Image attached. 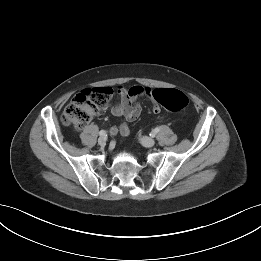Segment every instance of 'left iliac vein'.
Segmentation results:
<instances>
[{
  "label": "left iliac vein",
  "mask_w": 261,
  "mask_h": 261,
  "mask_svg": "<svg viewBox=\"0 0 261 261\" xmlns=\"http://www.w3.org/2000/svg\"><path fill=\"white\" fill-rule=\"evenodd\" d=\"M141 143L145 147H152L155 144V140L151 137H142Z\"/></svg>",
  "instance_id": "obj_1"
}]
</instances>
